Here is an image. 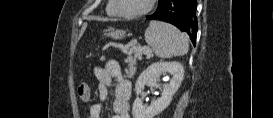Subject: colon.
<instances>
[{"mask_svg":"<svg viewBox=\"0 0 273 118\" xmlns=\"http://www.w3.org/2000/svg\"><path fill=\"white\" fill-rule=\"evenodd\" d=\"M79 97H87L88 96V86L86 84H80L78 87Z\"/></svg>","mask_w":273,"mask_h":118,"instance_id":"1","label":"colon"}]
</instances>
